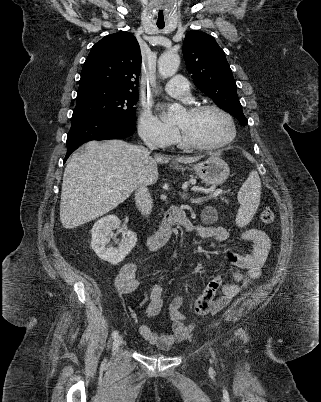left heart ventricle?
I'll list each match as a JSON object with an SVG mask.
<instances>
[{
  "label": "left heart ventricle",
  "instance_id": "obj_1",
  "mask_svg": "<svg viewBox=\"0 0 321 402\" xmlns=\"http://www.w3.org/2000/svg\"><path fill=\"white\" fill-rule=\"evenodd\" d=\"M192 139L203 144H215L230 134L226 118L215 110L191 113L182 112L175 121Z\"/></svg>",
  "mask_w": 321,
  "mask_h": 402
}]
</instances>
